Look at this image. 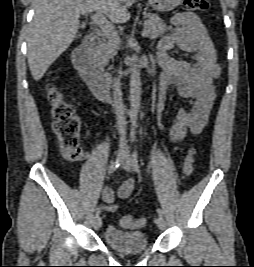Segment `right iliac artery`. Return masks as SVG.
<instances>
[{
    "mask_svg": "<svg viewBox=\"0 0 254 267\" xmlns=\"http://www.w3.org/2000/svg\"><path fill=\"white\" fill-rule=\"evenodd\" d=\"M120 165V159H117L116 161H114L111 165H110V169H109V173H113L116 171V169L119 167ZM95 214L96 216H98L100 214V208L96 207L95 208Z\"/></svg>",
    "mask_w": 254,
    "mask_h": 267,
    "instance_id": "1",
    "label": "right iliac artery"
}]
</instances>
